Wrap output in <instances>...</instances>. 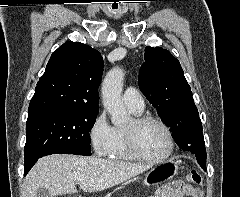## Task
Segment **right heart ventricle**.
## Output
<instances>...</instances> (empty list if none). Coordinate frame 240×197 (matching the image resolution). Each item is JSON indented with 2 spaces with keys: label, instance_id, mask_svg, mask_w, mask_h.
<instances>
[{
  "label": "right heart ventricle",
  "instance_id": "right-heart-ventricle-1",
  "mask_svg": "<svg viewBox=\"0 0 240 197\" xmlns=\"http://www.w3.org/2000/svg\"><path fill=\"white\" fill-rule=\"evenodd\" d=\"M130 109V108H129ZM130 111L136 115H140L142 111ZM112 160L118 161H135L136 158L130 153L125 138V130L122 128H115V140L111 153L108 155Z\"/></svg>",
  "mask_w": 240,
  "mask_h": 197
}]
</instances>
